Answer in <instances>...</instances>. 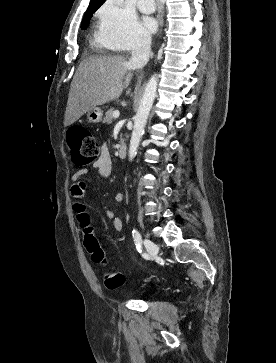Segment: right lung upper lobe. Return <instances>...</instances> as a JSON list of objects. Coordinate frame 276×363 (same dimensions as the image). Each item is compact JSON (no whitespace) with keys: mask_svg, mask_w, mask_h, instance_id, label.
<instances>
[{"mask_svg":"<svg viewBox=\"0 0 276 363\" xmlns=\"http://www.w3.org/2000/svg\"><path fill=\"white\" fill-rule=\"evenodd\" d=\"M103 2H104V0H91L89 7L94 6V5H97L99 7Z\"/></svg>","mask_w":276,"mask_h":363,"instance_id":"1","label":"right lung upper lobe"}]
</instances>
